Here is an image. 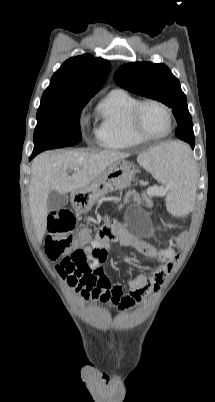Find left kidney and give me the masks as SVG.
<instances>
[{"label":"left kidney","instance_id":"5707ae66","mask_svg":"<svg viewBox=\"0 0 215 402\" xmlns=\"http://www.w3.org/2000/svg\"><path fill=\"white\" fill-rule=\"evenodd\" d=\"M168 227H173V222H168Z\"/></svg>","mask_w":215,"mask_h":402}]
</instances>
